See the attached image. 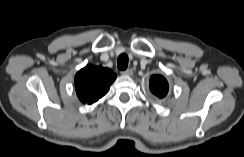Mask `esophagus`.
<instances>
[{
  "label": "esophagus",
  "instance_id": "esophagus-1",
  "mask_svg": "<svg viewBox=\"0 0 244 157\" xmlns=\"http://www.w3.org/2000/svg\"><path fill=\"white\" fill-rule=\"evenodd\" d=\"M122 75H126V76H132L133 75V70L131 68L126 69L124 71H121Z\"/></svg>",
  "mask_w": 244,
  "mask_h": 157
}]
</instances>
